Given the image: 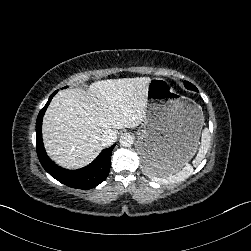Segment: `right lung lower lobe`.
I'll return each instance as SVG.
<instances>
[{"mask_svg": "<svg viewBox=\"0 0 251 251\" xmlns=\"http://www.w3.org/2000/svg\"><path fill=\"white\" fill-rule=\"evenodd\" d=\"M55 91L46 105L39 112L36 121L37 155L43 168L59 182L77 189H91L102 183L108 176L110 170V156L114 145L104 149L100 155L88 166L79 170H67L57 166L46 154L42 141V118L53 98Z\"/></svg>", "mask_w": 251, "mask_h": 251, "instance_id": "1", "label": "right lung lower lobe"}]
</instances>
